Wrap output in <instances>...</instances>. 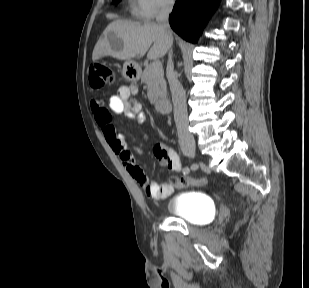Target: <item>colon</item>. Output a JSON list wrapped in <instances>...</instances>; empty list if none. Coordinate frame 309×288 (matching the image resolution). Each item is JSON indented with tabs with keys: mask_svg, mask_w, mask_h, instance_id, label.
<instances>
[{
	"mask_svg": "<svg viewBox=\"0 0 309 288\" xmlns=\"http://www.w3.org/2000/svg\"><path fill=\"white\" fill-rule=\"evenodd\" d=\"M90 80L94 87H103L114 83V75L109 68L97 66L94 68ZM206 182V178L204 177H173L169 183L174 187H201Z\"/></svg>",
	"mask_w": 309,
	"mask_h": 288,
	"instance_id": "1",
	"label": "colon"
}]
</instances>
